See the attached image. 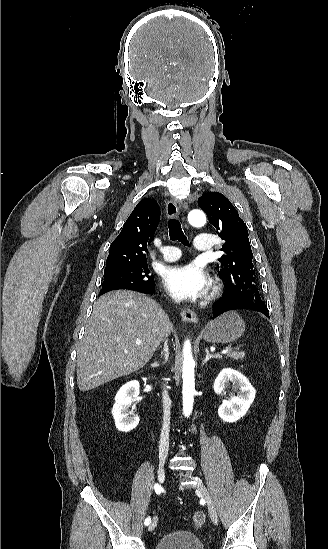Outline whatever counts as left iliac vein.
Listing matches in <instances>:
<instances>
[{
	"instance_id": "4c4485c4",
	"label": "left iliac vein",
	"mask_w": 328,
	"mask_h": 549,
	"mask_svg": "<svg viewBox=\"0 0 328 549\" xmlns=\"http://www.w3.org/2000/svg\"><path fill=\"white\" fill-rule=\"evenodd\" d=\"M195 480H197V479H195ZM196 489H197V491H199L203 495V497L206 501L207 507H208V511H209L211 520L215 525H217L218 524V516H217L216 508H215V505L212 501V498H211L209 492L207 491V488L202 484V482L198 481V484L196 485Z\"/></svg>"
}]
</instances>
